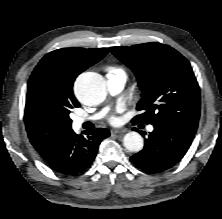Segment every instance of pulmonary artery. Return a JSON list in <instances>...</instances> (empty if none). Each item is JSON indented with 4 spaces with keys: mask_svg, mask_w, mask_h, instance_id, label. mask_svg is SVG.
I'll return each instance as SVG.
<instances>
[{
    "mask_svg": "<svg viewBox=\"0 0 222 219\" xmlns=\"http://www.w3.org/2000/svg\"><path fill=\"white\" fill-rule=\"evenodd\" d=\"M127 77L126 74L122 70L118 69H110L108 73L106 74V83H107V89L110 94L115 95L121 92L125 86ZM106 110H101L100 112H97L93 115H90L88 117H79L74 116L73 117V124L76 127L81 126L84 122L87 121H96L100 118H102L105 114ZM149 131H153V127H148Z\"/></svg>",
    "mask_w": 222,
    "mask_h": 219,
    "instance_id": "pulmonary-artery-1",
    "label": "pulmonary artery"
}]
</instances>
